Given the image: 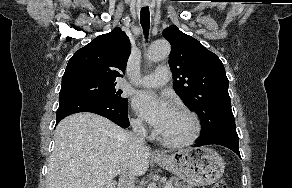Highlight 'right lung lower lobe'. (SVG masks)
<instances>
[{"label":"right lung lower lobe","instance_id":"obj_1","mask_svg":"<svg viewBox=\"0 0 292 188\" xmlns=\"http://www.w3.org/2000/svg\"><path fill=\"white\" fill-rule=\"evenodd\" d=\"M78 112H91L104 116L122 128L129 127L127 105L121 108L108 107L96 100L79 94L59 96V108L56 114V125L68 115Z\"/></svg>","mask_w":292,"mask_h":188}]
</instances>
